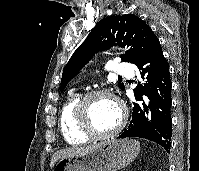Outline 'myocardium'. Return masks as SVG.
I'll list each match as a JSON object with an SVG mask.
<instances>
[{"mask_svg": "<svg viewBox=\"0 0 199 171\" xmlns=\"http://www.w3.org/2000/svg\"><path fill=\"white\" fill-rule=\"evenodd\" d=\"M99 97H108L116 102L120 109V119L118 124L111 130L106 132L97 131L91 120L90 105L91 102ZM76 117L78 126L81 132L93 139H105L119 134L126 125L128 118V111L126 106L116 96H114L108 90H92L84 94L77 103L76 106Z\"/></svg>", "mask_w": 199, "mask_h": 171, "instance_id": "obj_1", "label": "myocardium"}]
</instances>
